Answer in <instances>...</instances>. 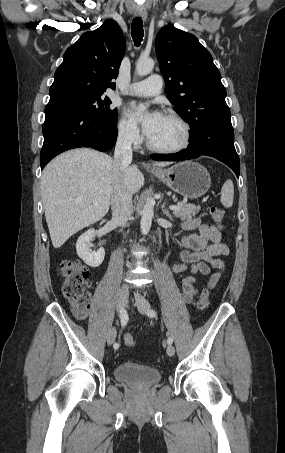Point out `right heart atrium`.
<instances>
[{
    "label": "right heart atrium",
    "instance_id": "right-heart-atrium-1",
    "mask_svg": "<svg viewBox=\"0 0 285 453\" xmlns=\"http://www.w3.org/2000/svg\"><path fill=\"white\" fill-rule=\"evenodd\" d=\"M118 139L125 145L137 147L142 141V136L137 124L129 117L123 115L118 124Z\"/></svg>",
    "mask_w": 285,
    "mask_h": 453
}]
</instances>
